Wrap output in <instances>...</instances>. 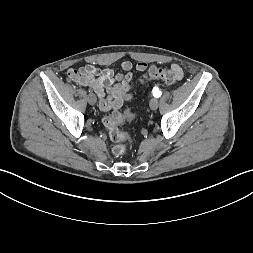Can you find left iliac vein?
<instances>
[{
	"label": "left iliac vein",
	"instance_id": "1",
	"mask_svg": "<svg viewBox=\"0 0 253 253\" xmlns=\"http://www.w3.org/2000/svg\"><path fill=\"white\" fill-rule=\"evenodd\" d=\"M149 105H150V108H151L152 110H156V109L158 108V105H159L158 99H157V98H152V99L150 100Z\"/></svg>",
	"mask_w": 253,
	"mask_h": 253
}]
</instances>
